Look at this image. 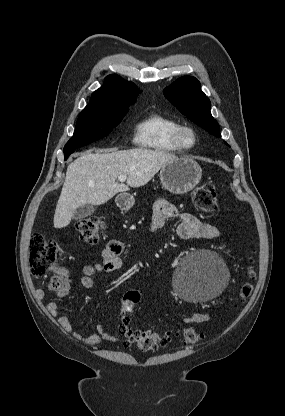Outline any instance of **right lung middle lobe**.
Wrapping results in <instances>:
<instances>
[{
	"label": "right lung middle lobe",
	"instance_id": "1",
	"mask_svg": "<svg viewBox=\"0 0 285 416\" xmlns=\"http://www.w3.org/2000/svg\"><path fill=\"white\" fill-rule=\"evenodd\" d=\"M128 107L112 109H87L79 115L73 137L66 143L63 152L88 145L107 136L128 112Z\"/></svg>",
	"mask_w": 285,
	"mask_h": 416
}]
</instances>
